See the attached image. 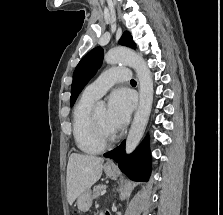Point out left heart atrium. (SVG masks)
Listing matches in <instances>:
<instances>
[{
    "instance_id": "1",
    "label": "left heart atrium",
    "mask_w": 223,
    "mask_h": 215,
    "mask_svg": "<svg viewBox=\"0 0 223 215\" xmlns=\"http://www.w3.org/2000/svg\"><path fill=\"white\" fill-rule=\"evenodd\" d=\"M133 108V99L125 89L114 91L108 101L107 121L116 130L123 127L129 120Z\"/></svg>"
}]
</instances>
